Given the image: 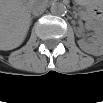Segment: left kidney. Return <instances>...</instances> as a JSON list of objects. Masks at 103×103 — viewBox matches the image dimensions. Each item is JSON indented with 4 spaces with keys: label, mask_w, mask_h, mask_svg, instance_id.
<instances>
[{
    "label": "left kidney",
    "mask_w": 103,
    "mask_h": 103,
    "mask_svg": "<svg viewBox=\"0 0 103 103\" xmlns=\"http://www.w3.org/2000/svg\"><path fill=\"white\" fill-rule=\"evenodd\" d=\"M87 29L94 31V36L89 42L81 39L78 41L79 47L86 53L95 54L101 52L103 49V26L96 22H87L85 24Z\"/></svg>",
    "instance_id": "1"
}]
</instances>
